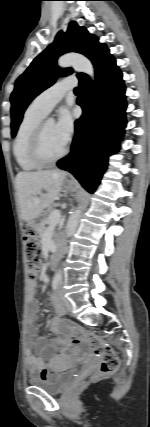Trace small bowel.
<instances>
[{
	"instance_id": "1",
	"label": "small bowel",
	"mask_w": 150,
	"mask_h": 427,
	"mask_svg": "<svg viewBox=\"0 0 150 427\" xmlns=\"http://www.w3.org/2000/svg\"><path fill=\"white\" fill-rule=\"evenodd\" d=\"M37 283L33 280L28 283L29 305L26 317V333L28 336V344L25 350L26 365L32 374H38L41 378L49 376L55 370L62 358L56 357V352H64L70 347L67 331L64 329V324L61 323L60 317L64 314V308L58 300L57 296L52 294L51 301L54 304L55 311L58 316L53 318L51 329L60 333L56 339H48L45 336L38 335L37 323L40 318L39 308L34 300ZM33 347L38 349L46 357L50 359L46 362L44 358L36 356L33 352Z\"/></svg>"
}]
</instances>
